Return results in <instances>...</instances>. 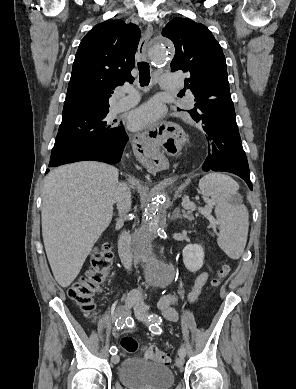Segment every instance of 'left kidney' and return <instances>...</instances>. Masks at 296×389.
I'll return each mask as SVG.
<instances>
[{"instance_id":"5707ae66","label":"left kidney","mask_w":296,"mask_h":389,"mask_svg":"<svg viewBox=\"0 0 296 389\" xmlns=\"http://www.w3.org/2000/svg\"><path fill=\"white\" fill-rule=\"evenodd\" d=\"M204 256V250L201 245H187L183 250V262L185 267L191 272L198 271L203 266Z\"/></svg>"}]
</instances>
